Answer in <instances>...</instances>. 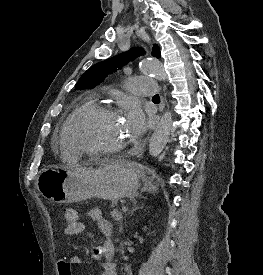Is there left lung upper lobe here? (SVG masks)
Returning <instances> with one entry per match:
<instances>
[{
    "label": "left lung upper lobe",
    "instance_id": "5c2ea615",
    "mask_svg": "<svg viewBox=\"0 0 263 275\" xmlns=\"http://www.w3.org/2000/svg\"><path fill=\"white\" fill-rule=\"evenodd\" d=\"M142 53L143 50L140 48L131 49L126 53L93 65L80 77L76 84V89L81 90L83 88H93L101 83L107 74L115 72L117 69H120L125 62L132 61ZM152 55L157 58L160 57V51L157 45L153 47Z\"/></svg>",
    "mask_w": 263,
    "mask_h": 275
}]
</instances>
